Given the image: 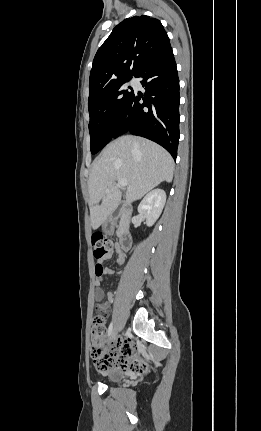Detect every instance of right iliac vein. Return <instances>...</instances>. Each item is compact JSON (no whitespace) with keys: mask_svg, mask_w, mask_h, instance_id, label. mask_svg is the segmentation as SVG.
<instances>
[{"mask_svg":"<svg viewBox=\"0 0 261 431\" xmlns=\"http://www.w3.org/2000/svg\"><path fill=\"white\" fill-rule=\"evenodd\" d=\"M116 335H117V330H116V328H114L112 333H111V339L114 340L116 338Z\"/></svg>","mask_w":261,"mask_h":431,"instance_id":"right-iliac-vein-1","label":"right iliac vein"}]
</instances>
